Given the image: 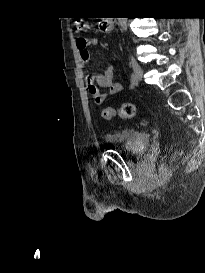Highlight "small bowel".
<instances>
[{
  "label": "small bowel",
  "mask_w": 205,
  "mask_h": 273,
  "mask_svg": "<svg viewBox=\"0 0 205 273\" xmlns=\"http://www.w3.org/2000/svg\"><path fill=\"white\" fill-rule=\"evenodd\" d=\"M97 43L98 40L96 38H86L82 36L76 38V47L83 64L88 63L90 60L88 47L96 45ZM113 78L114 67L112 65H108L102 73H88L86 75L88 91L92 95L96 105H102L108 96L115 95L122 90V84L115 82Z\"/></svg>",
  "instance_id": "obj_1"
}]
</instances>
